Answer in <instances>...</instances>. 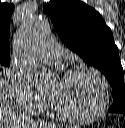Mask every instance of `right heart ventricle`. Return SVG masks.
Masks as SVG:
<instances>
[{
	"mask_svg": "<svg viewBox=\"0 0 125 128\" xmlns=\"http://www.w3.org/2000/svg\"><path fill=\"white\" fill-rule=\"evenodd\" d=\"M41 113H42V114H46V115H48V116H50V117H53V118L59 117V116L55 113V111L52 109V107L50 106L49 103H47V104L45 105V107L41 110Z\"/></svg>",
	"mask_w": 125,
	"mask_h": 128,
	"instance_id": "obj_1",
	"label": "right heart ventricle"
}]
</instances>
